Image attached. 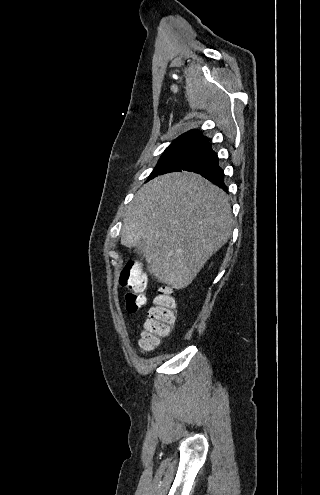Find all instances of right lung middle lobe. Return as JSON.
I'll return each mask as SVG.
<instances>
[{
    "label": "right lung middle lobe",
    "mask_w": 320,
    "mask_h": 495,
    "mask_svg": "<svg viewBox=\"0 0 320 495\" xmlns=\"http://www.w3.org/2000/svg\"><path fill=\"white\" fill-rule=\"evenodd\" d=\"M206 142L179 140L172 142L164 151L148 180L169 172L178 171Z\"/></svg>",
    "instance_id": "obj_1"
}]
</instances>
